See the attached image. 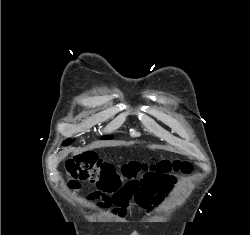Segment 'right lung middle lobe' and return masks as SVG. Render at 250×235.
<instances>
[{"label":"right lung middle lobe","mask_w":250,"mask_h":235,"mask_svg":"<svg viewBox=\"0 0 250 235\" xmlns=\"http://www.w3.org/2000/svg\"><path fill=\"white\" fill-rule=\"evenodd\" d=\"M112 138H113L112 135H105V136L102 137V139H106V140H109V139H112ZM68 144H70V139L63 143V145H68Z\"/></svg>","instance_id":"1"}]
</instances>
